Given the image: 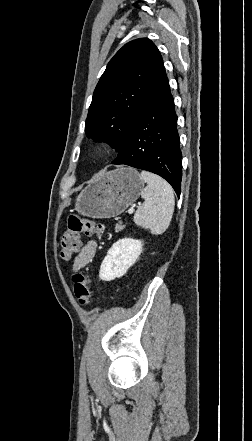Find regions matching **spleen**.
<instances>
[{"label":"spleen","mask_w":252,"mask_h":441,"mask_svg":"<svg viewBox=\"0 0 252 441\" xmlns=\"http://www.w3.org/2000/svg\"><path fill=\"white\" fill-rule=\"evenodd\" d=\"M140 177L147 186L141 192L144 202L135 212L134 222L152 234L160 235L167 230L173 216V189L164 179L148 171H142Z\"/></svg>","instance_id":"obj_1"}]
</instances>
